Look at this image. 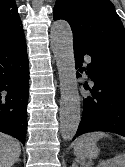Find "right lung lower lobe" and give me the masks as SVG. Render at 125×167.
Masks as SVG:
<instances>
[{"mask_svg":"<svg viewBox=\"0 0 125 167\" xmlns=\"http://www.w3.org/2000/svg\"><path fill=\"white\" fill-rule=\"evenodd\" d=\"M29 66L24 33L0 39V132L25 144Z\"/></svg>","mask_w":125,"mask_h":167,"instance_id":"right-lung-lower-lobe-1","label":"right lung lower lobe"}]
</instances>
